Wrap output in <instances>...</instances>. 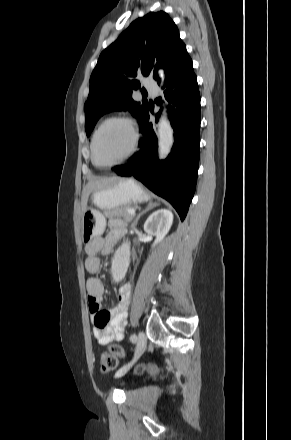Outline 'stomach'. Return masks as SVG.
<instances>
[{"label":"stomach","mask_w":291,"mask_h":440,"mask_svg":"<svg viewBox=\"0 0 291 440\" xmlns=\"http://www.w3.org/2000/svg\"><path fill=\"white\" fill-rule=\"evenodd\" d=\"M89 196L91 205L96 208L89 207L82 217V239L85 242L102 234L105 229L106 221L100 210L129 206L149 199L148 194L133 179L121 178L105 188L93 190Z\"/></svg>","instance_id":"1"}]
</instances>
